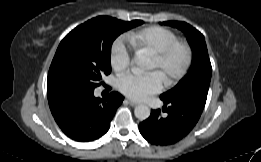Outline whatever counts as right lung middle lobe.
I'll use <instances>...</instances> for the list:
<instances>
[{
  "instance_id": "1",
  "label": "right lung middle lobe",
  "mask_w": 261,
  "mask_h": 162,
  "mask_svg": "<svg viewBox=\"0 0 261 162\" xmlns=\"http://www.w3.org/2000/svg\"><path fill=\"white\" fill-rule=\"evenodd\" d=\"M99 16L77 26L59 44L47 79L48 100L66 90L94 91L111 72L110 49L122 32L142 24Z\"/></svg>"
}]
</instances>
